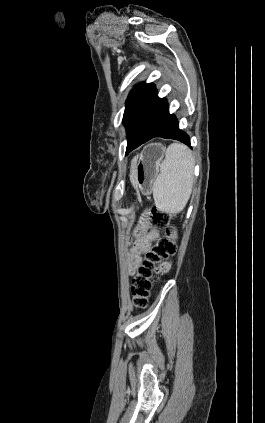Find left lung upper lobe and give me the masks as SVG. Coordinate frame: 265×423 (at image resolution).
I'll list each match as a JSON object with an SVG mask.
<instances>
[{"mask_svg":"<svg viewBox=\"0 0 265 423\" xmlns=\"http://www.w3.org/2000/svg\"><path fill=\"white\" fill-rule=\"evenodd\" d=\"M141 85H142L141 83H140V84H138V85H136V86L133 88V90L130 92L129 96H128V99H127V101H126V108H125V112H124V116H123V123H124V124H126V121H127V117H128V114H129L130 107H131L132 102H133V100H134V98H135V96H136V94H137V92H138V90H139V88H140V86H141Z\"/></svg>","mask_w":265,"mask_h":423,"instance_id":"left-lung-upper-lobe-1","label":"left lung upper lobe"}]
</instances>
